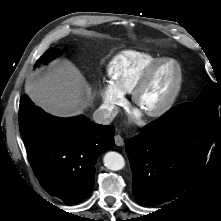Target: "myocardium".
I'll use <instances>...</instances> for the list:
<instances>
[{"label":"myocardium","instance_id":"1","mask_svg":"<svg viewBox=\"0 0 221 221\" xmlns=\"http://www.w3.org/2000/svg\"><path fill=\"white\" fill-rule=\"evenodd\" d=\"M171 63L175 66L176 70V80L173 87V90L169 97L163 101L161 104L154 108L150 109H143L140 105V100L143 95V93L146 91V89L149 87L156 71L164 64ZM184 82V75H183V69L179 61H177L174 58H161L155 61L144 73L138 84L135 86V88L132 91V101L136 107H138L140 110H142L147 116L149 117H160L166 114L176 103Z\"/></svg>","mask_w":221,"mask_h":221}]
</instances>
